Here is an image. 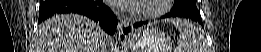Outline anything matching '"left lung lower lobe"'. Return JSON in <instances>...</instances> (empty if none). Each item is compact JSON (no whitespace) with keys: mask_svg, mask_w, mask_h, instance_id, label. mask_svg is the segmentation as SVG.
Returning a JSON list of instances; mask_svg holds the SVG:
<instances>
[{"mask_svg":"<svg viewBox=\"0 0 261 52\" xmlns=\"http://www.w3.org/2000/svg\"><path fill=\"white\" fill-rule=\"evenodd\" d=\"M168 17H185V18L193 19V20H195L199 23L202 22V19H197V18L193 17L192 15L186 14L184 12L171 11L170 13H167L164 16H162V18H168ZM146 23H147V21L137 22V23L134 24V27H139V26H142Z\"/></svg>","mask_w":261,"mask_h":52,"instance_id":"1","label":"left lung lower lobe"}]
</instances>
